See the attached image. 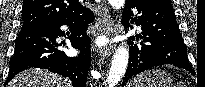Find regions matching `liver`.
Masks as SVG:
<instances>
[{"instance_id": "liver-1", "label": "liver", "mask_w": 205, "mask_h": 87, "mask_svg": "<svg viewBox=\"0 0 205 87\" xmlns=\"http://www.w3.org/2000/svg\"><path fill=\"white\" fill-rule=\"evenodd\" d=\"M8 87H71L57 74L44 70H26L15 76Z\"/></svg>"}]
</instances>
